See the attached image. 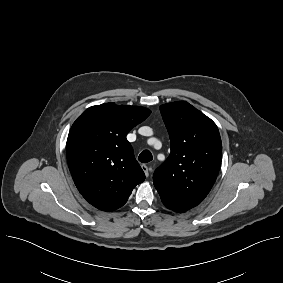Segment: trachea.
I'll list each match as a JSON object with an SVG mask.
<instances>
[{
  "instance_id": "1",
  "label": "trachea",
  "mask_w": 283,
  "mask_h": 283,
  "mask_svg": "<svg viewBox=\"0 0 283 283\" xmlns=\"http://www.w3.org/2000/svg\"><path fill=\"white\" fill-rule=\"evenodd\" d=\"M153 159V156L150 151L144 150L142 153H140L138 160L142 163L150 162Z\"/></svg>"
}]
</instances>
